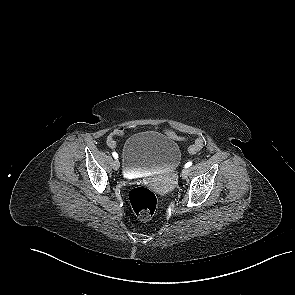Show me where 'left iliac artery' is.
Returning <instances> with one entry per match:
<instances>
[{"instance_id":"left-iliac-artery-1","label":"left iliac artery","mask_w":295,"mask_h":295,"mask_svg":"<svg viewBox=\"0 0 295 295\" xmlns=\"http://www.w3.org/2000/svg\"><path fill=\"white\" fill-rule=\"evenodd\" d=\"M191 165H192V162L189 161V162H187V163L185 164V168H189Z\"/></svg>"}]
</instances>
